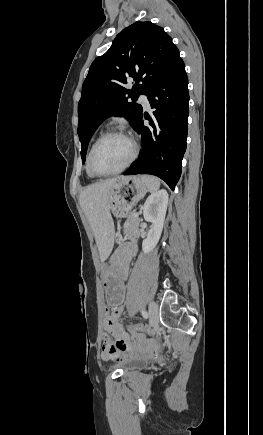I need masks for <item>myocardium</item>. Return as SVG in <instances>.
Returning <instances> with one entry per match:
<instances>
[{
    "label": "myocardium",
    "mask_w": 263,
    "mask_h": 435,
    "mask_svg": "<svg viewBox=\"0 0 263 435\" xmlns=\"http://www.w3.org/2000/svg\"><path fill=\"white\" fill-rule=\"evenodd\" d=\"M112 136H120V137H124V138H127L128 140H130V142L132 144V151H131V154H130L128 160L126 161V163L123 166H121L120 168L113 170V171L101 172L95 168V166L93 164V156H94L95 150L98 147V145L102 141H104L105 139L112 137ZM137 154H138V144L136 143V141L134 140L133 137H131L129 134H127L126 132H124L122 130L111 129V130L106 131L102 135H100L97 138V140L93 143V145L89 151L88 157H87V164H88L89 170L94 175L99 176V177H106V176L119 174V173L123 172L124 170H126L133 163Z\"/></svg>",
    "instance_id": "obj_1"
}]
</instances>
